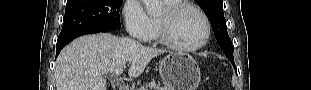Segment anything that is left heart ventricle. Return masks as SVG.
I'll return each mask as SVG.
<instances>
[{"label":"left heart ventricle","mask_w":311,"mask_h":90,"mask_svg":"<svg viewBox=\"0 0 311 90\" xmlns=\"http://www.w3.org/2000/svg\"><path fill=\"white\" fill-rule=\"evenodd\" d=\"M171 35L173 40L180 45H195L205 35L204 22L198 13L185 9L172 22Z\"/></svg>","instance_id":"obj_1"}]
</instances>
